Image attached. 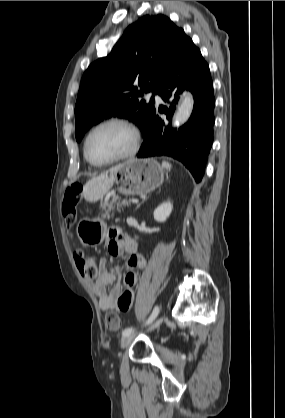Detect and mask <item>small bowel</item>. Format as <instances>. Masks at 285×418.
Segmentation results:
<instances>
[{"label":"small bowel","mask_w":285,"mask_h":418,"mask_svg":"<svg viewBox=\"0 0 285 418\" xmlns=\"http://www.w3.org/2000/svg\"><path fill=\"white\" fill-rule=\"evenodd\" d=\"M106 247L113 257H119L123 252H127L129 258L123 267L109 269L106 259L102 257L99 263V276L90 284L93 292L98 297L99 308L102 311L117 310L126 314L132 308L138 274L145 269L146 260L137 253L135 241L124 234H111ZM122 274H124L123 290L117 283Z\"/></svg>","instance_id":"c3829d8e"}]
</instances>
